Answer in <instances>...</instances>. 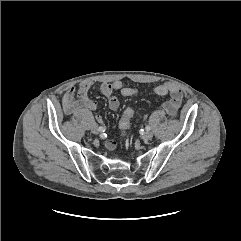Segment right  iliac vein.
I'll return each instance as SVG.
<instances>
[{
	"mask_svg": "<svg viewBox=\"0 0 241 241\" xmlns=\"http://www.w3.org/2000/svg\"><path fill=\"white\" fill-rule=\"evenodd\" d=\"M91 131H92V133H94V134H98V133L100 132L99 127H97V126H95V125L91 128Z\"/></svg>",
	"mask_w": 241,
	"mask_h": 241,
	"instance_id": "obj_1",
	"label": "right iliac vein"
}]
</instances>
